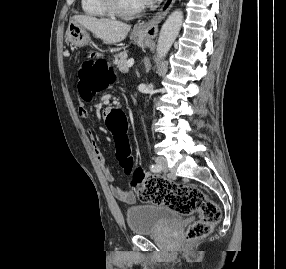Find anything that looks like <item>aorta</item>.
I'll use <instances>...</instances> for the list:
<instances>
[{"mask_svg":"<svg viewBox=\"0 0 286 269\" xmlns=\"http://www.w3.org/2000/svg\"><path fill=\"white\" fill-rule=\"evenodd\" d=\"M183 22L181 10L173 11L163 24L157 43V62L166 57L172 44L179 34Z\"/></svg>","mask_w":286,"mask_h":269,"instance_id":"aorta-1","label":"aorta"}]
</instances>
